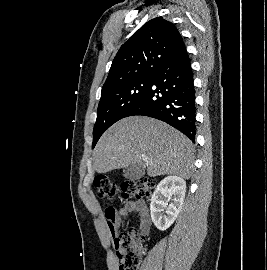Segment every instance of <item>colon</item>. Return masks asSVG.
Wrapping results in <instances>:
<instances>
[{
  "label": "colon",
  "mask_w": 267,
  "mask_h": 270,
  "mask_svg": "<svg viewBox=\"0 0 267 270\" xmlns=\"http://www.w3.org/2000/svg\"><path fill=\"white\" fill-rule=\"evenodd\" d=\"M94 187L97 197L110 202L118 194L124 199H142L148 197L154 181L143 177L134 181H126L118 186L106 176H97L94 179ZM110 213L114 208L109 206L106 209ZM143 235L137 229H130L117 233L114 236V246L119 263V270H138L142 254Z\"/></svg>",
  "instance_id": "obj_1"
}]
</instances>
